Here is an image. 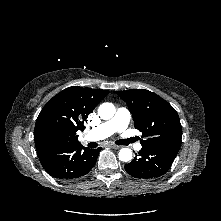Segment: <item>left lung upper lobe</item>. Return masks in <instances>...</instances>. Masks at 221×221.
<instances>
[{
	"mask_svg": "<svg viewBox=\"0 0 221 221\" xmlns=\"http://www.w3.org/2000/svg\"><path fill=\"white\" fill-rule=\"evenodd\" d=\"M129 106L134 126L146 139L142 145H149L179 151L182 127L176 110L157 94L145 89L116 91Z\"/></svg>",
	"mask_w": 221,
	"mask_h": 221,
	"instance_id": "obj_1",
	"label": "left lung upper lobe"
}]
</instances>
